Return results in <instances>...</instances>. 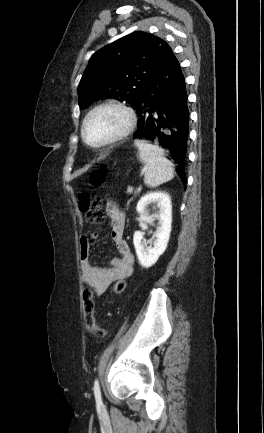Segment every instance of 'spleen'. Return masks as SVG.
<instances>
[{
  "label": "spleen",
  "mask_w": 264,
  "mask_h": 433,
  "mask_svg": "<svg viewBox=\"0 0 264 433\" xmlns=\"http://www.w3.org/2000/svg\"><path fill=\"white\" fill-rule=\"evenodd\" d=\"M140 159L145 164L144 183L148 187H157L174 177L173 164L164 157V150L144 140L136 139Z\"/></svg>",
  "instance_id": "3e777b00"
}]
</instances>
